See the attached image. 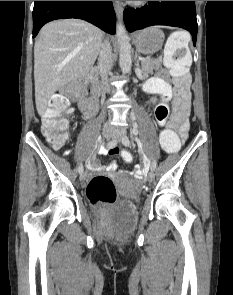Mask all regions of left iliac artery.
Instances as JSON below:
<instances>
[{
    "label": "left iliac artery",
    "mask_w": 233,
    "mask_h": 295,
    "mask_svg": "<svg viewBox=\"0 0 233 295\" xmlns=\"http://www.w3.org/2000/svg\"><path fill=\"white\" fill-rule=\"evenodd\" d=\"M123 142L124 144H127V145H130L131 143L127 136L124 138ZM156 164L157 163L155 161L151 164V170L156 169Z\"/></svg>",
    "instance_id": "left-iliac-artery-1"
}]
</instances>
